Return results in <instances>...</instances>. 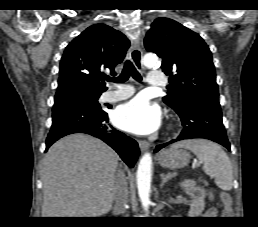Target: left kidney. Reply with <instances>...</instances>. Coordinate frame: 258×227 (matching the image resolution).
I'll return each instance as SVG.
<instances>
[{
  "instance_id": "obj_1",
  "label": "left kidney",
  "mask_w": 258,
  "mask_h": 227,
  "mask_svg": "<svg viewBox=\"0 0 258 227\" xmlns=\"http://www.w3.org/2000/svg\"><path fill=\"white\" fill-rule=\"evenodd\" d=\"M180 186L191 196V204L189 216L198 217L202 214L205 202V190L195 186V182L193 180H185L181 182Z\"/></svg>"
}]
</instances>
